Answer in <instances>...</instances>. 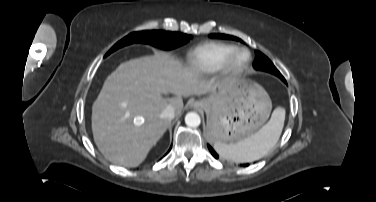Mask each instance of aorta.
<instances>
[{
	"instance_id": "1",
	"label": "aorta",
	"mask_w": 376,
	"mask_h": 202,
	"mask_svg": "<svg viewBox=\"0 0 376 202\" xmlns=\"http://www.w3.org/2000/svg\"><path fill=\"white\" fill-rule=\"evenodd\" d=\"M185 123L189 127H198L201 123V118L196 112H189L185 116Z\"/></svg>"
}]
</instances>
